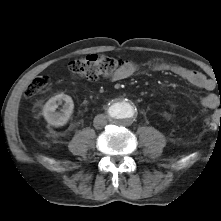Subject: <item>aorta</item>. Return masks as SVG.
<instances>
[{"mask_svg": "<svg viewBox=\"0 0 221 221\" xmlns=\"http://www.w3.org/2000/svg\"><path fill=\"white\" fill-rule=\"evenodd\" d=\"M137 115V108L130 100L121 98L111 103L108 116L116 124L128 125Z\"/></svg>", "mask_w": 221, "mask_h": 221, "instance_id": "obj_1", "label": "aorta"}]
</instances>
